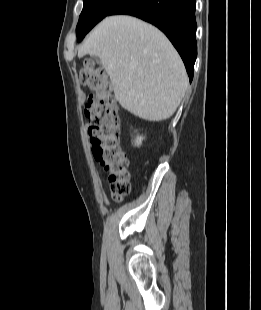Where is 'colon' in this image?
Returning <instances> with one entry per match:
<instances>
[{"instance_id":"1","label":"colon","mask_w":261,"mask_h":310,"mask_svg":"<svg viewBox=\"0 0 261 310\" xmlns=\"http://www.w3.org/2000/svg\"><path fill=\"white\" fill-rule=\"evenodd\" d=\"M79 76L92 90L85 103L92 152L104 168L113 199L120 201L130 192L132 173L120 147L119 108L104 70L88 60Z\"/></svg>"}]
</instances>
